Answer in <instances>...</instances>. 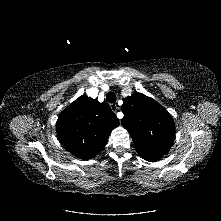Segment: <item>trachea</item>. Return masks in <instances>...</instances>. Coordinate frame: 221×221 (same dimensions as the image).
Masks as SVG:
<instances>
[{
	"label": "trachea",
	"instance_id": "3493384b",
	"mask_svg": "<svg viewBox=\"0 0 221 221\" xmlns=\"http://www.w3.org/2000/svg\"><path fill=\"white\" fill-rule=\"evenodd\" d=\"M106 100H107L109 103H115V102H116V95H115V93H113V92H108L107 95H106Z\"/></svg>",
	"mask_w": 221,
	"mask_h": 221
}]
</instances>
